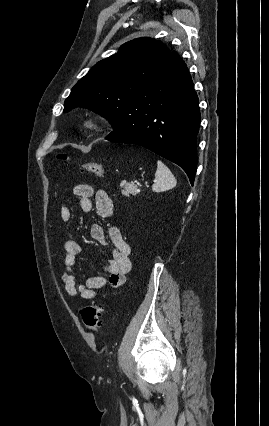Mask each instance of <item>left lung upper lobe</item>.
<instances>
[{"label": "left lung upper lobe", "mask_w": 269, "mask_h": 426, "mask_svg": "<svg viewBox=\"0 0 269 426\" xmlns=\"http://www.w3.org/2000/svg\"><path fill=\"white\" fill-rule=\"evenodd\" d=\"M170 53L162 42L147 37L123 44L77 82L65 100L64 112L78 106L91 109L108 118L115 131L128 103L138 91L149 88Z\"/></svg>", "instance_id": "5c2ea615"}]
</instances>
